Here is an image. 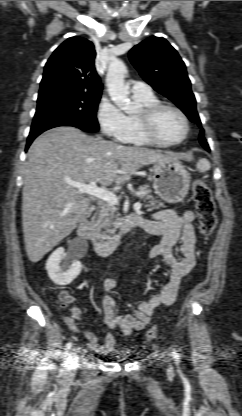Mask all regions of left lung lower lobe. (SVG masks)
<instances>
[{"instance_id":"0a47b994","label":"left lung lower lobe","mask_w":242,"mask_h":416,"mask_svg":"<svg viewBox=\"0 0 242 416\" xmlns=\"http://www.w3.org/2000/svg\"><path fill=\"white\" fill-rule=\"evenodd\" d=\"M200 143L202 144V146H203L206 150L210 151L209 146H208V144H207V142H206V141H203V142H200Z\"/></svg>"}]
</instances>
